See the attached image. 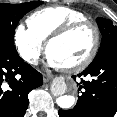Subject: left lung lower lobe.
<instances>
[{"instance_id": "left-lung-lower-lobe-1", "label": "left lung lower lobe", "mask_w": 117, "mask_h": 117, "mask_svg": "<svg viewBox=\"0 0 117 117\" xmlns=\"http://www.w3.org/2000/svg\"><path fill=\"white\" fill-rule=\"evenodd\" d=\"M81 95L73 109L59 110L60 117H113L117 111V45L93 61L78 77ZM75 79L76 76H73Z\"/></svg>"}]
</instances>
